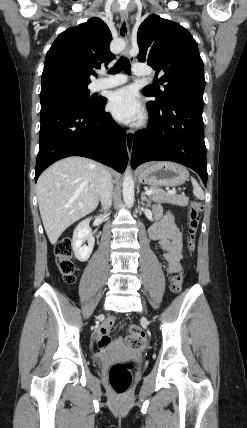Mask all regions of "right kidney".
I'll list each match as a JSON object with an SVG mask.
<instances>
[{"label":"right kidney","mask_w":247,"mask_h":428,"mask_svg":"<svg viewBox=\"0 0 247 428\" xmlns=\"http://www.w3.org/2000/svg\"><path fill=\"white\" fill-rule=\"evenodd\" d=\"M90 219H86L79 223L73 232L72 249L75 257L81 261H87L93 251L95 238L89 227ZM87 242V245L84 244Z\"/></svg>","instance_id":"ca27d5eb"}]
</instances>
